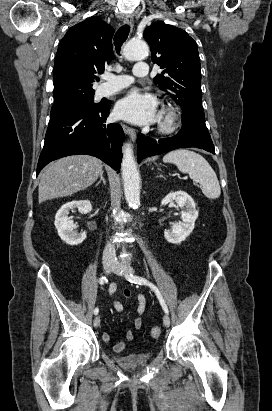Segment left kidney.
Instances as JSON below:
<instances>
[{"label":"left kidney","instance_id":"5707ae66","mask_svg":"<svg viewBox=\"0 0 272 411\" xmlns=\"http://www.w3.org/2000/svg\"><path fill=\"white\" fill-rule=\"evenodd\" d=\"M175 201L181 208L182 222L173 224L171 230H165V239L173 244H179L184 241L193 231L195 221L198 217L196 204L194 200L186 192L176 191L171 192L162 199L161 205H167Z\"/></svg>","mask_w":272,"mask_h":411}]
</instances>
